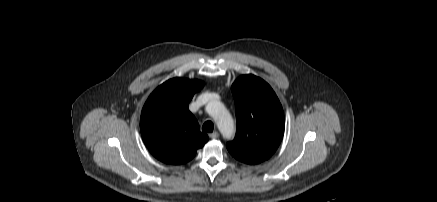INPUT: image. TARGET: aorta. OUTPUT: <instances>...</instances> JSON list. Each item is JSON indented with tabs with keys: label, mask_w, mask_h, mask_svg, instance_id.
<instances>
[{
	"label": "aorta",
	"mask_w": 437,
	"mask_h": 202,
	"mask_svg": "<svg viewBox=\"0 0 437 202\" xmlns=\"http://www.w3.org/2000/svg\"><path fill=\"white\" fill-rule=\"evenodd\" d=\"M208 113L214 118L219 131L225 139H231L234 135V122L223 103L214 100L207 105Z\"/></svg>",
	"instance_id": "762f6f07"
}]
</instances>
